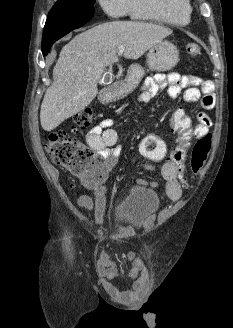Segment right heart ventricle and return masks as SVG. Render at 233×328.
Here are the masks:
<instances>
[{
    "label": "right heart ventricle",
    "mask_w": 233,
    "mask_h": 328,
    "mask_svg": "<svg viewBox=\"0 0 233 328\" xmlns=\"http://www.w3.org/2000/svg\"><path fill=\"white\" fill-rule=\"evenodd\" d=\"M191 12L189 0H128L127 4V13L133 19L175 26L189 24Z\"/></svg>",
    "instance_id": "right-heart-ventricle-1"
}]
</instances>
